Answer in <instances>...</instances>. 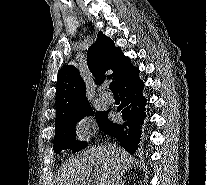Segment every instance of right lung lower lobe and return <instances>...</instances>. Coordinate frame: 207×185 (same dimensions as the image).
Returning a JSON list of instances; mask_svg holds the SVG:
<instances>
[{
  "label": "right lung lower lobe",
  "mask_w": 207,
  "mask_h": 185,
  "mask_svg": "<svg viewBox=\"0 0 207 185\" xmlns=\"http://www.w3.org/2000/svg\"><path fill=\"white\" fill-rule=\"evenodd\" d=\"M138 73L139 71L116 85L121 99L117 108V111L122 113L121 120L117 123L108 120L101 127L104 133L116 138L131 154L136 151L140 142V128L146 117V99L142 96L144 85L138 78Z\"/></svg>",
  "instance_id": "1"
}]
</instances>
